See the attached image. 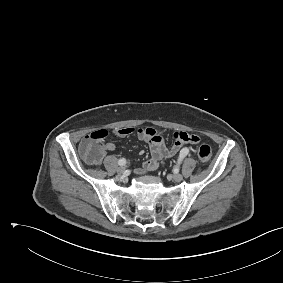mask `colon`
<instances>
[{
  "instance_id": "1",
  "label": "colon",
  "mask_w": 283,
  "mask_h": 283,
  "mask_svg": "<svg viewBox=\"0 0 283 283\" xmlns=\"http://www.w3.org/2000/svg\"><path fill=\"white\" fill-rule=\"evenodd\" d=\"M106 136V130H98L85 136L81 141L79 145L80 153L90 164H97L102 159L104 154L102 142ZM197 153L203 163H207L212 156V150L207 144L200 145Z\"/></svg>"
}]
</instances>
